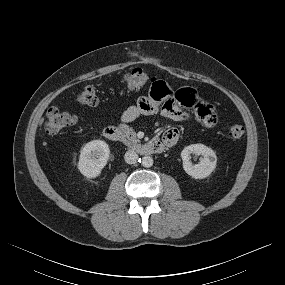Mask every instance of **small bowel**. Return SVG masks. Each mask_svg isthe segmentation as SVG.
<instances>
[{
	"label": "small bowel",
	"mask_w": 285,
	"mask_h": 285,
	"mask_svg": "<svg viewBox=\"0 0 285 285\" xmlns=\"http://www.w3.org/2000/svg\"><path fill=\"white\" fill-rule=\"evenodd\" d=\"M193 108L200 124L211 128L217 124L215 107L200 98L194 88L184 87L171 90L166 82L153 81L148 86V96H141L135 104L124 110L120 117L121 123H131L142 115H152L159 111L175 121H188L190 116L183 109ZM171 109V110H169ZM179 131L176 128L168 129L162 136V141L171 147L177 143Z\"/></svg>",
	"instance_id": "c3829d8e"
}]
</instances>
